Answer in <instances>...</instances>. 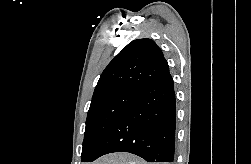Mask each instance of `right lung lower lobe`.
<instances>
[{
  "label": "right lung lower lobe",
  "instance_id": "right-lung-lower-lobe-1",
  "mask_svg": "<svg viewBox=\"0 0 251 164\" xmlns=\"http://www.w3.org/2000/svg\"><path fill=\"white\" fill-rule=\"evenodd\" d=\"M176 99L173 79L140 89L139 97L116 119L84 162L112 152H129L148 162H173Z\"/></svg>",
  "mask_w": 251,
  "mask_h": 164
}]
</instances>
